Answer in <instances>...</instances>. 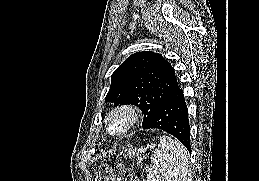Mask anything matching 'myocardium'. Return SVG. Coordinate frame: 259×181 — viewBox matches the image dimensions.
I'll use <instances>...</instances> for the list:
<instances>
[{"label":"myocardium","instance_id":"obj_1","mask_svg":"<svg viewBox=\"0 0 259 181\" xmlns=\"http://www.w3.org/2000/svg\"><path fill=\"white\" fill-rule=\"evenodd\" d=\"M137 109L131 104H119L113 107L105 118L107 132L113 136H120L127 133L138 121ZM121 120L119 127H114V120Z\"/></svg>","mask_w":259,"mask_h":181}]
</instances>
